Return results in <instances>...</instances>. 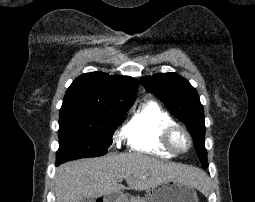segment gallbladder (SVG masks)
<instances>
[{
    "label": "gallbladder",
    "mask_w": 255,
    "mask_h": 202,
    "mask_svg": "<svg viewBox=\"0 0 255 202\" xmlns=\"http://www.w3.org/2000/svg\"><path fill=\"white\" fill-rule=\"evenodd\" d=\"M80 202H94L93 198L85 197Z\"/></svg>",
    "instance_id": "gallbladder-1"
}]
</instances>
